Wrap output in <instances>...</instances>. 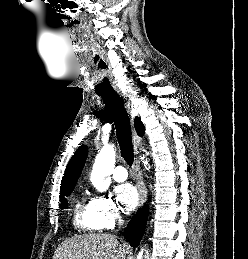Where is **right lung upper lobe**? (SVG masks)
<instances>
[{"instance_id":"1","label":"right lung upper lobe","mask_w":248,"mask_h":259,"mask_svg":"<svg viewBox=\"0 0 248 259\" xmlns=\"http://www.w3.org/2000/svg\"><path fill=\"white\" fill-rule=\"evenodd\" d=\"M134 125L139 136L144 135V125L141 120L136 117ZM88 149L86 146H80L72 156L70 162L67 165L65 174L61 181L60 192L73 189L76 185L77 179L84 167Z\"/></svg>"}]
</instances>
